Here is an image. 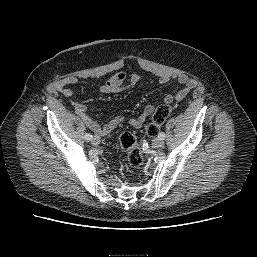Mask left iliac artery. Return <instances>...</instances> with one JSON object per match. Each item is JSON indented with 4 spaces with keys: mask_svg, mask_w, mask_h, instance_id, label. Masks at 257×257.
Masks as SVG:
<instances>
[{
    "mask_svg": "<svg viewBox=\"0 0 257 257\" xmlns=\"http://www.w3.org/2000/svg\"><path fill=\"white\" fill-rule=\"evenodd\" d=\"M158 138L164 140L166 138V135L163 132H161L158 134Z\"/></svg>",
    "mask_w": 257,
    "mask_h": 257,
    "instance_id": "obj_1",
    "label": "left iliac artery"
}]
</instances>
